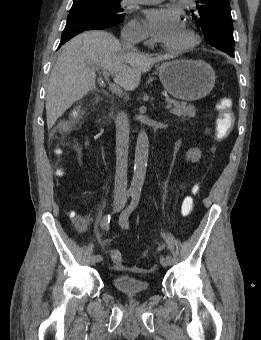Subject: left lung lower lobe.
I'll return each mask as SVG.
<instances>
[{
    "mask_svg": "<svg viewBox=\"0 0 261 340\" xmlns=\"http://www.w3.org/2000/svg\"><path fill=\"white\" fill-rule=\"evenodd\" d=\"M231 57H234V53L229 54Z\"/></svg>",
    "mask_w": 261,
    "mask_h": 340,
    "instance_id": "obj_1",
    "label": "left lung lower lobe"
}]
</instances>
